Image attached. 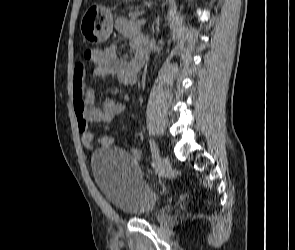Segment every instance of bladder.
I'll list each match as a JSON object with an SVG mask.
<instances>
[{"instance_id": "1", "label": "bladder", "mask_w": 295, "mask_h": 250, "mask_svg": "<svg viewBox=\"0 0 295 250\" xmlns=\"http://www.w3.org/2000/svg\"><path fill=\"white\" fill-rule=\"evenodd\" d=\"M91 170L104 197L123 213L150 218L159 211V196L143 179L128 152L105 147L93 154Z\"/></svg>"}]
</instances>
